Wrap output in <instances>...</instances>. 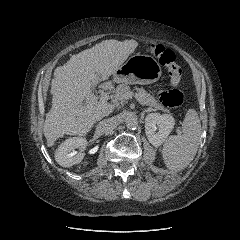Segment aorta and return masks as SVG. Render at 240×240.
I'll return each mask as SVG.
<instances>
[{
  "mask_svg": "<svg viewBox=\"0 0 240 240\" xmlns=\"http://www.w3.org/2000/svg\"><path fill=\"white\" fill-rule=\"evenodd\" d=\"M124 121L128 129H136L138 126V119L132 114H127Z\"/></svg>",
  "mask_w": 240,
  "mask_h": 240,
  "instance_id": "aorta-1",
  "label": "aorta"
}]
</instances>
